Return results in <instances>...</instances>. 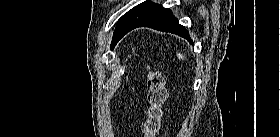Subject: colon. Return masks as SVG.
I'll return each mask as SVG.
<instances>
[{
	"instance_id": "1",
	"label": "colon",
	"mask_w": 280,
	"mask_h": 137,
	"mask_svg": "<svg viewBox=\"0 0 280 137\" xmlns=\"http://www.w3.org/2000/svg\"><path fill=\"white\" fill-rule=\"evenodd\" d=\"M147 90L148 106L143 123V137H156L161 128L166 88L161 71L151 66H147Z\"/></svg>"
}]
</instances>
